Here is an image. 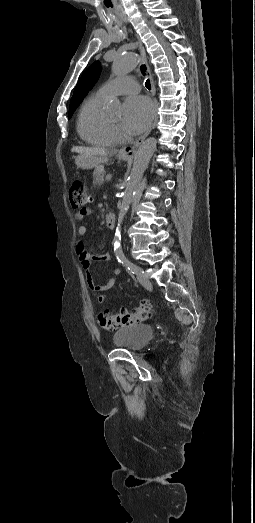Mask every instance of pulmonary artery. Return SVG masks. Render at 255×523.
<instances>
[{
	"label": "pulmonary artery",
	"instance_id": "e3ab8cb5",
	"mask_svg": "<svg viewBox=\"0 0 255 523\" xmlns=\"http://www.w3.org/2000/svg\"><path fill=\"white\" fill-rule=\"evenodd\" d=\"M120 79L110 81L101 86L100 91L107 96L116 94H127V92H136L139 89V84L130 76L125 75Z\"/></svg>",
	"mask_w": 255,
	"mask_h": 523
}]
</instances>
